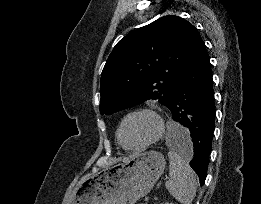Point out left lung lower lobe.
I'll list each match as a JSON object with an SVG mask.
<instances>
[{
    "instance_id": "1",
    "label": "left lung lower lobe",
    "mask_w": 261,
    "mask_h": 204,
    "mask_svg": "<svg viewBox=\"0 0 261 204\" xmlns=\"http://www.w3.org/2000/svg\"><path fill=\"white\" fill-rule=\"evenodd\" d=\"M168 109L172 119L186 127L183 133L174 132L180 145L191 156L190 166L203 185L207 176L216 110L209 55L200 34Z\"/></svg>"
}]
</instances>
